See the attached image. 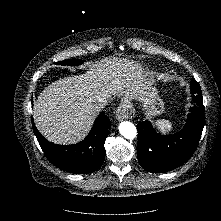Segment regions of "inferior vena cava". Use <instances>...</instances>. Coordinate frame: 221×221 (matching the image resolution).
<instances>
[{
  "label": "inferior vena cava",
  "instance_id": "obj_1",
  "mask_svg": "<svg viewBox=\"0 0 221 221\" xmlns=\"http://www.w3.org/2000/svg\"><path fill=\"white\" fill-rule=\"evenodd\" d=\"M97 101H98V104L101 108H103V106L106 105L107 103V98L103 97V96H98L97 97Z\"/></svg>",
  "mask_w": 221,
  "mask_h": 221
}]
</instances>
